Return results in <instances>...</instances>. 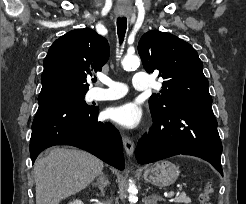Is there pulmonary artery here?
I'll list each match as a JSON object with an SVG mask.
<instances>
[{"label": "pulmonary artery", "mask_w": 246, "mask_h": 204, "mask_svg": "<svg viewBox=\"0 0 246 204\" xmlns=\"http://www.w3.org/2000/svg\"><path fill=\"white\" fill-rule=\"evenodd\" d=\"M100 81L107 88H93L89 93L92 101L115 100L123 97L127 93V87L120 82H116L108 77H101ZM133 87L136 90H146L150 87L149 75L145 72H136L132 79Z\"/></svg>", "instance_id": "e3ab8cb5"}]
</instances>
